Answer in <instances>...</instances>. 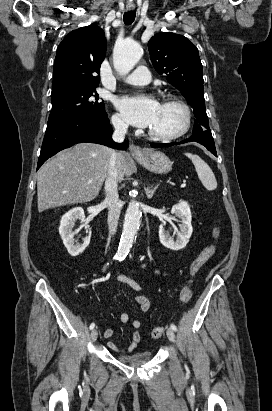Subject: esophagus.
Returning <instances> with one entry per match:
<instances>
[{
	"mask_svg": "<svg viewBox=\"0 0 272 411\" xmlns=\"http://www.w3.org/2000/svg\"><path fill=\"white\" fill-rule=\"evenodd\" d=\"M133 9H134L133 5H128L127 6V10L130 11V10H133ZM129 150H130V153H131L132 156H142L143 155L142 149L137 145L131 144L130 147H129Z\"/></svg>",
	"mask_w": 272,
	"mask_h": 411,
	"instance_id": "1",
	"label": "esophagus"
}]
</instances>
